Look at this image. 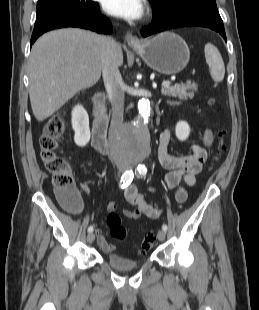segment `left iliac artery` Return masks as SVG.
Here are the masks:
<instances>
[{
    "mask_svg": "<svg viewBox=\"0 0 259 310\" xmlns=\"http://www.w3.org/2000/svg\"><path fill=\"white\" fill-rule=\"evenodd\" d=\"M146 173H147V168L145 167V165H138V167H137V175L138 176H145ZM162 229L164 231H166L167 230V225L163 224L162 225Z\"/></svg>",
    "mask_w": 259,
    "mask_h": 310,
    "instance_id": "44dca946",
    "label": "left iliac artery"
}]
</instances>
